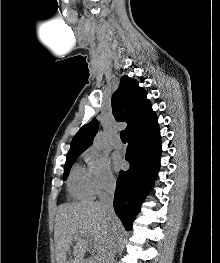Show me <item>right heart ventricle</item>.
Returning <instances> with one entry per match:
<instances>
[{"mask_svg": "<svg viewBox=\"0 0 220 263\" xmlns=\"http://www.w3.org/2000/svg\"><path fill=\"white\" fill-rule=\"evenodd\" d=\"M68 191L75 200H91L94 197L88 169L79 164L72 168L68 179Z\"/></svg>", "mask_w": 220, "mask_h": 263, "instance_id": "1", "label": "right heart ventricle"}]
</instances>
